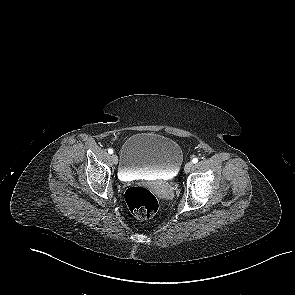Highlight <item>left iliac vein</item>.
<instances>
[{
	"label": "left iliac vein",
	"mask_w": 295,
	"mask_h": 295,
	"mask_svg": "<svg viewBox=\"0 0 295 295\" xmlns=\"http://www.w3.org/2000/svg\"><path fill=\"white\" fill-rule=\"evenodd\" d=\"M193 168V163L192 162H188L186 163L185 167H184V171L186 173L190 172V170Z\"/></svg>",
	"instance_id": "1"
}]
</instances>
